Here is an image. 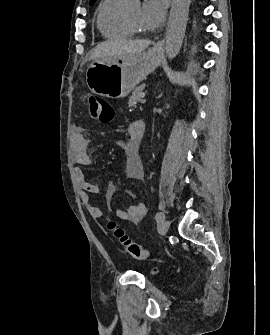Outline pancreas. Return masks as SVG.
<instances>
[{
    "label": "pancreas",
    "mask_w": 270,
    "mask_h": 335,
    "mask_svg": "<svg viewBox=\"0 0 270 335\" xmlns=\"http://www.w3.org/2000/svg\"><path fill=\"white\" fill-rule=\"evenodd\" d=\"M145 88V84H142V86H138V88H134L132 92V96L129 98V108H132V106H136L137 102H141V98L143 96L142 92Z\"/></svg>",
    "instance_id": "pancreas-1"
}]
</instances>
